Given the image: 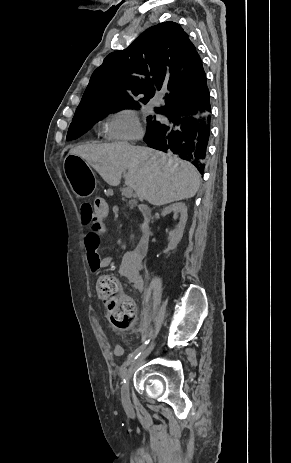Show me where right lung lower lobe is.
I'll use <instances>...</instances> for the list:
<instances>
[{"mask_svg": "<svg viewBox=\"0 0 291 463\" xmlns=\"http://www.w3.org/2000/svg\"><path fill=\"white\" fill-rule=\"evenodd\" d=\"M207 89L202 100L190 107H172L163 113L169 122H160L147 130L144 141L149 147L191 162L203 174L211 133V104L206 75L201 84Z\"/></svg>", "mask_w": 291, "mask_h": 463, "instance_id": "1", "label": "right lung lower lobe"}]
</instances>
